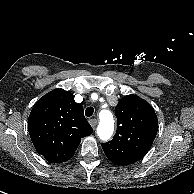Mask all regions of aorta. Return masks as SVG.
Segmentation results:
<instances>
[{
	"instance_id": "762f6f07",
	"label": "aorta",
	"mask_w": 194,
	"mask_h": 194,
	"mask_svg": "<svg viewBox=\"0 0 194 194\" xmlns=\"http://www.w3.org/2000/svg\"><path fill=\"white\" fill-rule=\"evenodd\" d=\"M99 125L97 127V135L103 141L110 139L114 131V118L109 110H102L99 113Z\"/></svg>"
}]
</instances>
